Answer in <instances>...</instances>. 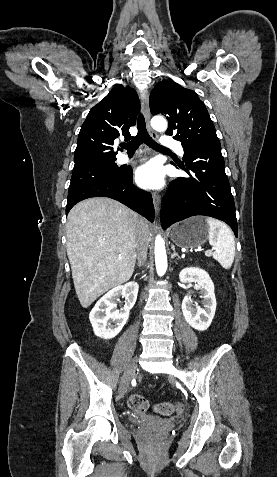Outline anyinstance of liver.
Returning a JSON list of instances; mask_svg holds the SVG:
<instances>
[{
    "mask_svg": "<svg viewBox=\"0 0 277 477\" xmlns=\"http://www.w3.org/2000/svg\"><path fill=\"white\" fill-rule=\"evenodd\" d=\"M140 219L120 202L105 197L84 200L70 210L66 248L83 308L131 278ZM144 223L149 234V226Z\"/></svg>",
    "mask_w": 277,
    "mask_h": 477,
    "instance_id": "liver-1",
    "label": "liver"
}]
</instances>
